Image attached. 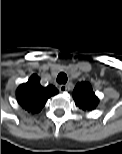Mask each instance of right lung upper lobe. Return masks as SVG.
Returning <instances> with one entry per match:
<instances>
[{"label":"right lung upper lobe","instance_id":"right-lung-upper-lobe-1","mask_svg":"<svg viewBox=\"0 0 122 154\" xmlns=\"http://www.w3.org/2000/svg\"><path fill=\"white\" fill-rule=\"evenodd\" d=\"M58 93V90L53 86L42 87L40 78L33 74L28 82L21 84L17 91L16 97L18 103L28 112H39L45 105L48 98Z\"/></svg>","mask_w":122,"mask_h":154}]
</instances>
